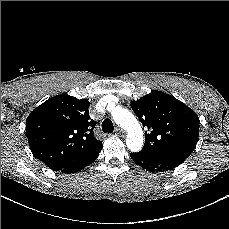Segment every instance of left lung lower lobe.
<instances>
[{
	"mask_svg": "<svg viewBox=\"0 0 229 229\" xmlns=\"http://www.w3.org/2000/svg\"><path fill=\"white\" fill-rule=\"evenodd\" d=\"M130 156L136 164L150 172L168 171L179 166L185 161L184 159L179 158L148 157L138 153H131Z\"/></svg>",
	"mask_w": 229,
	"mask_h": 229,
	"instance_id": "left-lung-lower-lobe-1",
	"label": "left lung lower lobe"
}]
</instances>
